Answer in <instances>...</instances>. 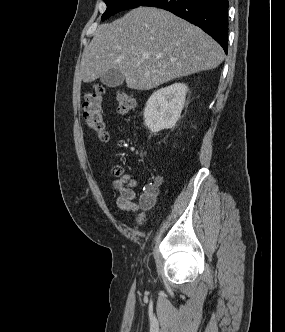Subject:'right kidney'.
Returning <instances> with one entry per match:
<instances>
[{
  "label": "right kidney",
  "mask_w": 285,
  "mask_h": 332,
  "mask_svg": "<svg viewBox=\"0 0 285 332\" xmlns=\"http://www.w3.org/2000/svg\"><path fill=\"white\" fill-rule=\"evenodd\" d=\"M188 87L175 83L154 92L144 109V122L153 133L175 126L185 104Z\"/></svg>",
  "instance_id": "obj_1"
}]
</instances>
